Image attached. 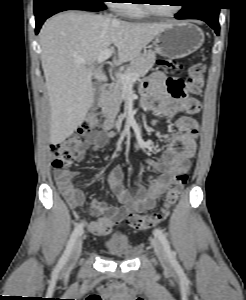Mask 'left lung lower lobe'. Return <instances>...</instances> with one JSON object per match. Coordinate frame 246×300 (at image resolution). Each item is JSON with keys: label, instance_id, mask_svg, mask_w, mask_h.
Segmentation results:
<instances>
[{"label": "left lung lower lobe", "instance_id": "left-lung-lower-lobe-1", "mask_svg": "<svg viewBox=\"0 0 246 300\" xmlns=\"http://www.w3.org/2000/svg\"><path fill=\"white\" fill-rule=\"evenodd\" d=\"M219 8L215 0H189L175 14L176 19H199L205 21L219 35Z\"/></svg>", "mask_w": 246, "mask_h": 300}]
</instances>
